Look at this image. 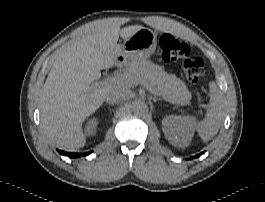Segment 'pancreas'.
<instances>
[{
  "instance_id": "pancreas-1",
  "label": "pancreas",
  "mask_w": 265,
  "mask_h": 202,
  "mask_svg": "<svg viewBox=\"0 0 265 202\" xmlns=\"http://www.w3.org/2000/svg\"><path fill=\"white\" fill-rule=\"evenodd\" d=\"M123 74L129 77L131 85L145 82L158 95L167 97L175 104H190L191 92L185 83L150 61H132L128 63Z\"/></svg>"
}]
</instances>
